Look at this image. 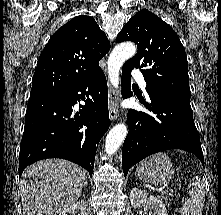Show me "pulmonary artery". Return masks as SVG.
<instances>
[{
    "instance_id": "pulmonary-artery-1",
    "label": "pulmonary artery",
    "mask_w": 221,
    "mask_h": 215,
    "mask_svg": "<svg viewBox=\"0 0 221 215\" xmlns=\"http://www.w3.org/2000/svg\"><path fill=\"white\" fill-rule=\"evenodd\" d=\"M132 76L139 82L141 88L145 91L146 82L144 81V78H143L141 72L138 69H134L132 71Z\"/></svg>"
}]
</instances>
